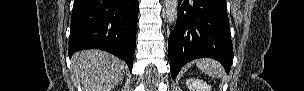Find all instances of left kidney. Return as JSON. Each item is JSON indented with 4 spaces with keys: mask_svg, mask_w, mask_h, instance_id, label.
<instances>
[{
    "mask_svg": "<svg viewBox=\"0 0 304 91\" xmlns=\"http://www.w3.org/2000/svg\"><path fill=\"white\" fill-rule=\"evenodd\" d=\"M186 85L190 89V91H211L212 87L207 84L206 82H203L202 80H198L195 78L187 79Z\"/></svg>",
    "mask_w": 304,
    "mask_h": 91,
    "instance_id": "5707ae66",
    "label": "left kidney"
}]
</instances>
